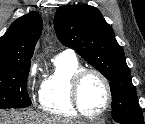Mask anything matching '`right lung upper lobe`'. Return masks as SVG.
<instances>
[{"mask_svg":"<svg viewBox=\"0 0 145 124\" xmlns=\"http://www.w3.org/2000/svg\"><path fill=\"white\" fill-rule=\"evenodd\" d=\"M42 26L40 15L34 11L13 22L0 38V66L30 61Z\"/></svg>","mask_w":145,"mask_h":124,"instance_id":"obj_1","label":"right lung upper lobe"}]
</instances>
